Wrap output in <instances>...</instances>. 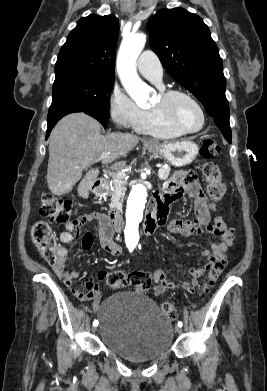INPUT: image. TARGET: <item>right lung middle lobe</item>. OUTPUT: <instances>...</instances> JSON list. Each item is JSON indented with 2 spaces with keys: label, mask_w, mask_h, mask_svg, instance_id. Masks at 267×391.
<instances>
[{
  "label": "right lung middle lobe",
  "mask_w": 267,
  "mask_h": 391,
  "mask_svg": "<svg viewBox=\"0 0 267 391\" xmlns=\"http://www.w3.org/2000/svg\"><path fill=\"white\" fill-rule=\"evenodd\" d=\"M115 75L72 72L56 76L48 116L68 107L95 110L109 117Z\"/></svg>",
  "instance_id": "dd1d6c3e"
}]
</instances>
